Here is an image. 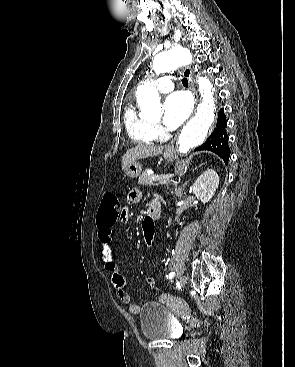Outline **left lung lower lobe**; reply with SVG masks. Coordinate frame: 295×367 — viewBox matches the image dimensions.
I'll use <instances>...</instances> for the list:
<instances>
[{"label":"left lung lower lobe","mask_w":295,"mask_h":367,"mask_svg":"<svg viewBox=\"0 0 295 367\" xmlns=\"http://www.w3.org/2000/svg\"><path fill=\"white\" fill-rule=\"evenodd\" d=\"M226 116L222 108L218 113L217 125L207 140L195 151L208 150L217 154L227 164L230 157V149L228 146V135L226 133Z\"/></svg>","instance_id":"obj_1"}]
</instances>
